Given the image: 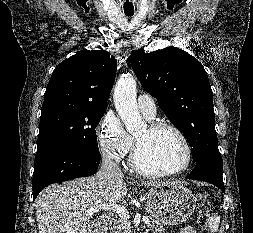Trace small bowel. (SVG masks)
I'll list each match as a JSON object with an SVG mask.
<instances>
[{"label":"small bowel","mask_w":253,"mask_h":233,"mask_svg":"<svg viewBox=\"0 0 253 233\" xmlns=\"http://www.w3.org/2000/svg\"><path fill=\"white\" fill-rule=\"evenodd\" d=\"M180 233H197V232L195 231V229H194L193 227H191V226H186V227H184V228L180 231Z\"/></svg>","instance_id":"c3829d8e"}]
</instances>
